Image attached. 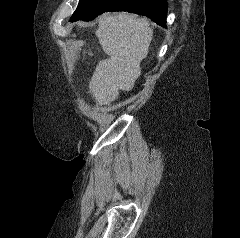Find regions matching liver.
Instances as JSON below:
<instances>
[{
  "label": "liver",
  "mask_w": 240,
  "mask_h": 238,
  "mask_svg": "<svg viewBox=\"0 0 240 238\" xmlns=\"http://www.w3.org/2000/svg\"><path fill=\"white\" fill-rule=\"evenodd\" d=\"M98 23L96 36L110 58L98 63L89 93L99 105H109L120 90H132L141 73L140 62L148 53L152 29L146 19L127 13L102 14Z\"/></svg>",
  "instance_id": "6515ba94"
}]
</instances>
